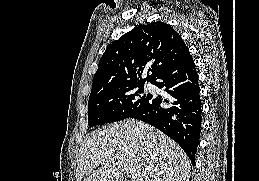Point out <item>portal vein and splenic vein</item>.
Instances as JSON below:
<instances>
[{"label":"portal vein and splenic vein","mask_w":259,"mask_h":181,"mask_svg":"<svg viewBox=\"0 0 259 181\" xmlns=\"http://www.w3.org/2000/svg\"><path fill=\"white\" fill-rule=\"evenodd\" d=\"M128 173H129L131 176H133V175L136 173V170L130 168V169L128 170Z\"/></svg>","instance_id":"18ae733b"}]
</instances>
